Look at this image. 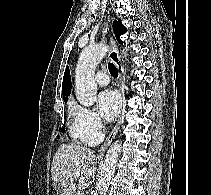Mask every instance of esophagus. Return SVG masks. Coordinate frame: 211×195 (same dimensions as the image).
I'll return each mask as SVG.
<instances>
[{
    "instance_id": "esophagus-1",
    "label": "esophagus",
    "mask_w": 211,
    "mask_h": 195,
    "mask_svg": "<svg viewBox=\"0 0 211 195\" xmlns=\"http://www.w3.org/2000/svg\"><path fill=\"white\" fill-rule=\"evenodd\" d=\"M110 44H111V51L109 54V59L115 64V66L119 72L118 86H119L121 96H122L123 108H122L121 116L119 117L116 125L114 126L113 130L111 131V133L109 134V136L107 137V139L105 140V142L103 143L101 148L99 149V152H98L99 156L104 155L106 149L108 148V146L111 144V142L115 138V136L120 128V125L122 123L123 112H124V108H125V91H124L125 72H124V68L121 63L120 57H119L118 48L116 46V42H115L113 35H110Z\"/></svg>"
}]
</instances>
